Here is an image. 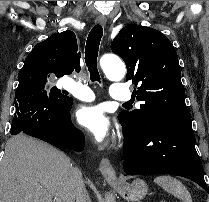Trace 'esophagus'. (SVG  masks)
Segmentation results:
<instances>
[{
	"mask_svg": "<svg viewBox=\"0 0 209 202\" xmlns=\"http://www.w3.org/2000/svg\"><path fill=\"white\" fill-rule=\"evenodd\" d=\"M106 22L107 20L103 16H98L96 19V23L102 26H105ZM99 170L106 181L113 182L117 179L116 171L107 158H102L99 165Z\"/></svg>",
	"mask_w": 209,
	"mask_h": 202,
	"instance_id": "1",
	"label": "esophagus"
}]
</instances>
